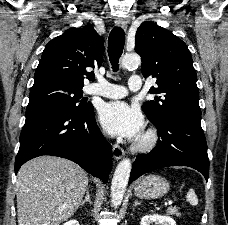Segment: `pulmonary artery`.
Wrapping results in <instances>:
<instances>
[{"mask_svg":"<svg viewBox=\"0 0 228 225\" xmlns=\"http://www.w3.org/2000/svg\"><path fill=\"white\" fill-rule=\"evenodd\" d=\"M132 80H141V75H132ZM143 81H130L127 90H142ZM87 94L98 95L110 99L123 98L127 95L124 87L112 84L106 80H99L98 83H91L85 88Z\"/></svg>","mask_w":228,"mask_h":225,"instance_id":"pulmonary-artery-1","label":"pulmonary artery"}]
</instances>
